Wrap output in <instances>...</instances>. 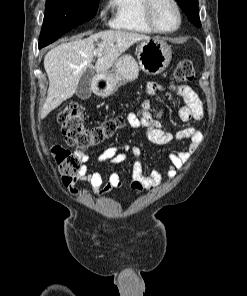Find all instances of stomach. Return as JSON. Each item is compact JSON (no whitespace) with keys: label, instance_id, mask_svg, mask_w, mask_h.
<instances>
[{"label":"stomach","instance_id":"0dacf381","mask_svg":"<svg viewBox=\"0 0 247 296\" xmlns=\"http://www.w3.org/2000/svg\"><path fill=\"white\" fill-rule=\"evenodd\" d=\"M172 59L171 47L160 38L141 41L137 47V61L128 54L121 56L112 70L94 77L95 93L102 97L111 95L119 86L133 81L142 69L149 75L162 73Z\"/></svg>","mask_w":247,"mask_h":296}]
</instances>
